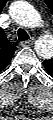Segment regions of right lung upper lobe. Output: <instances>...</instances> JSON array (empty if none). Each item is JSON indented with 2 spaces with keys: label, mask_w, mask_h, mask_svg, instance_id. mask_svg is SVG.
Instances as JSON below:
<instances>
[{
  "label": "right lung upper lobe",
  "mask_w": 53,
  "mask_h": 120,
  "mask_svg": "<svg viewBox=\"0 0 53 120\" xmlns=\"http://www.w3.org/2000/svg\"><path fill=\"white\" fill-rule=\"evenodd\" d=\"M6 39V38H5ZM4 54L6 56V65H8L10 59L12 58V55L14 54V51L16 50V47L15 45L11 44L7 39H6V45H5V48H4Z\"/></svg>",
  "instance_id": "1"
}]
</instances>
